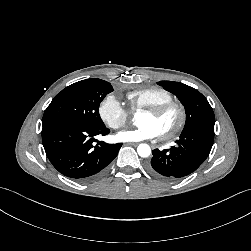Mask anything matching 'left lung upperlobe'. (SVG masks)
<instances>
[{"mask_svg":"<svg viewBox=\"0 0 251 251\" xmlns=\"http://www.w3.org/2000/svg\"><path fill=\"white\" fill-rule=\"evenodd\" d=\"M165 90L176 95L186 109V123L182 132L195 128L214 129L215 117L207 99L196 89L180 82H158Z\"/></svg>","mask_w":251,"mask_h":251,"instance_id":"left-lung-upper-lobe-1","label":"left lung upper lobe"}]
</instances>
